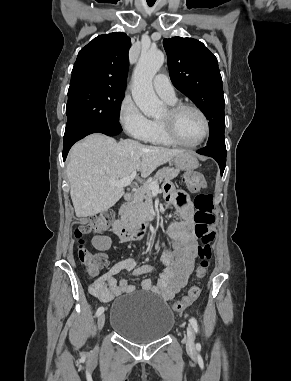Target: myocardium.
<instances>
[{"label":"myocardium","mask_w":291,"mask_h":381,"mask_svg":"<svg viewBox=\"0 0 291 381\" xmlns=\"http://www.w3.org/2000/svg\"><path fill=\"white\" fill-rule=\"evenodd\" d=\"M185 110H193V111L197 112L201 116V118L204 122L203 135L201 136V138L198 141H196L194 143H187V142L182 141L179 138V136L177 135L176 130H175L176 118L178 117V115L180 113H182ZM158 121H159L160 127L162 129V132L165 134V136L171 142H173L176 145L187 147V148H194V147L201 145L206 140V138L208 137V135L210 133V122H209L207 115L205 114V112L201 108H199L198 106H196L194 104L176 103V104L170 105L167 109L166 117L159 119Z\"/></svg>","instance_id":"1"}]
</instances>
